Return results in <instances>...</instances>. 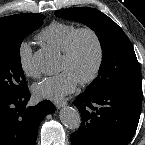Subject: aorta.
Instances as JSON below:
<instances>
[{
  "label": "aorta",
  "instance_id": "aorta-1",
  "mask_svg": "<svg viewBox=\"0 0 145 145\" xmlns=\"http://www.w3.org/2000/svg\"><path fill=\"white\" fill-rule=\"evenodd\" d=\"M35 65L44 72L52 71L55 65V58L49 50H39L34 55ZM61 122L71 130H77L81 124V116L77 109L66 106L60 110Z\"/></svg>",
  "mask_w": 145,
  "mask_h": 145
}]
</instances>
